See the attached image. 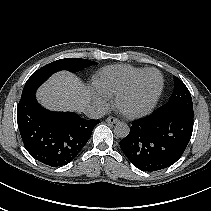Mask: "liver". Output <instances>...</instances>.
<instances>
[{
  "instance_id": "liver-1",
  "label": "liver",
  "mask_w": 211,
  "mask_h": 211,
  "mask_svg": "<svg viewBox=\"0 0 211 211\" xmlns=\"http://www.w3.org/2000/svg\"><path fill=\"white\" fill-rule=\"evenodd\" d=\"M90 90L68 72L53 75L38 91L39 102L51 110L81 112L90 102Z\"/></svg>"
}]
</instances>
